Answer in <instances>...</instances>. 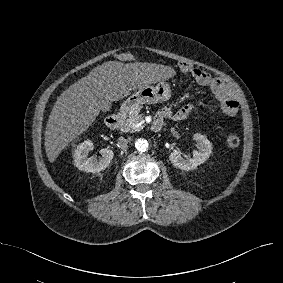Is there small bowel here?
<instances>
[{
  "label": "small bowel",
  "mask_w": 283,
  "mask_h": 283,
  "mask_svg": "<svg viewBox=\"0 0 283 283\" xmlns=\"http://www.w3.org/2000/svg\"><path fill=\"white\" fill-rule=\"evenodd\" d=\"M188 72L192 74L197 83L208 86L213 91L219 101L218 115L232 117L237 113L239 107L238 101L234 98L228 86H226L219 78L197 68L190 69ZM199 110L200 107L198 105L189 103L175 112L169 108H163L158 112L157 117L161 118L162 121L164 119L182 121Z\"/></svg>",
  "instance_id": "1"
}]
</instances>
